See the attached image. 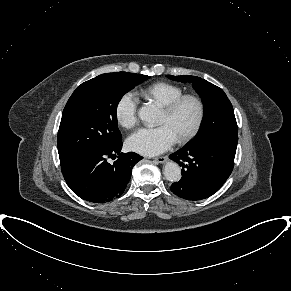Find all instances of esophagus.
I'll return each mask as SVG.
<instances>
[{
  "mask_svg": "<svg viewBox=\"0 0 291 291\" xmlns=\"http://www.w3.org/2000/svg\"><path fill=\"white\" fill-rule=\"evenodd\" d=\"M168 157L167 156H159V157H156L155 160L158 162V163H165L167 161Z\"/></svg>",
  "mask_w": 291,
  "mask_h": 291,
  "instance_id": "34e87169",
  "label": "esophagus"
}]
</instances>
